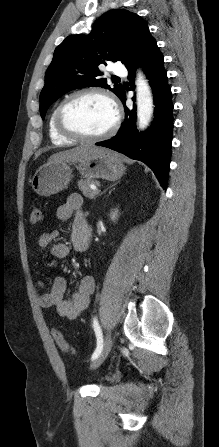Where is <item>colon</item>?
<instances>
[{
    "label": "colon",
    "mask_w": 219,
    "mask_h": 447,
    "mask_svg": "<svg viewBox=\"0 0 219 447\" xmlns=\"http://www.w3.org/2000/svg\"><path fill=\"white\" fill-rule=\"evenodd\" d=\"M42 221V210L41 207L37 204H34L31 206V212H30V223L32 225H37ZM53 337L54 340L56 342V344L58 345V347L68 353V354H72L73 350L70 347V345L68 344V342L66 341V339L64 338L63 334L61 331L59 330H54L53 331Z\"/></svg>",
    "instance_id": "obj_1"
}]
</instances>
